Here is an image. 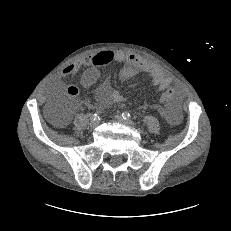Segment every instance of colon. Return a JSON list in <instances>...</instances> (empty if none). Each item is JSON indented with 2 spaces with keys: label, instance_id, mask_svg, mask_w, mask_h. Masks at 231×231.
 <instances>
[{
  "label": "colon",
  "instance_id": "obj_1",
  "mask_svg": "<svg viewBox=\"0 0 231 231\" xmlns=\"http://www.w3.org/2000/svg\"><path fill=\"white\" fill-rule=\"evenodd\" d=\"M125 67H131V64L126 63ZM175 97V90L172 87H166L164 92L159 95V100L162 103H169Z\"/></svg>",
  "mask_w": 231,
  "mask_h": 231
}]
</instances>
